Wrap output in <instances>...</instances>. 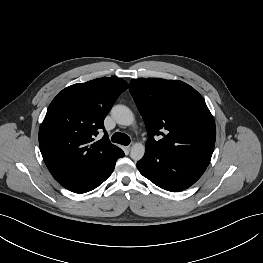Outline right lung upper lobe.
<instances>
[{
	"label": "right lung upper lobe",
	"instance_id": "1",
	"mask_svg": "<svg viewBox=\"0 0 263 263\" xmlns=\"http://www.w3.org/2000/svg\"><path fill=\"white\" fill-rule=\"evenodd\" d=\"M128 84L120 78H100L63 89L51 102L39 129V146L54 179L63 187L81 179L121 149L111 144L104 119Z\"/></svg>",
	"mask_w": 263,
	"mask_h": 263
}]
</instances>
